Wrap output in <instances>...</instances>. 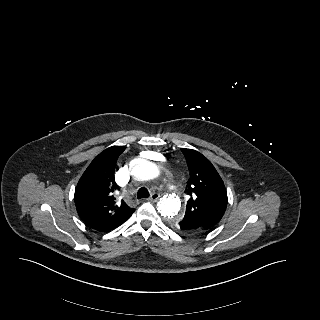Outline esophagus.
<instances>
[{"label":"esophagus","instance_id":"obj_1","mask_svg":"<svg viewBox=\"0 0 320 320\" xmlns=\"http://www.w3.org/2000/svg\"><path fill=\"white\" fill-rule=\"evenodd\" d=\"M160 195L157 193H153L147 200L148 201H157L159 199Z\"/></svg>","mask_w":320,"mask_h":320}]
</instances>
